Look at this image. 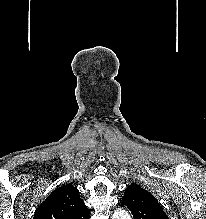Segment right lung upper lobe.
Segmentation results:
<instances>
[{
	"mask_svg": "<svg viewBox=\"0 0 206 219\" xmlns=\"http://www.w3.org/2000/svg\"><path fill=\"white\" fill-rule=\"evenodd\" d=\"M90 211L71 184L54 190L36 210L33 219H89Z\"/></svg>",
	"mask_w": 206,
	"mask_h": 219,
	"instance_id": "1",
	"label": "right lung upper lobe"
}]
</instances>
